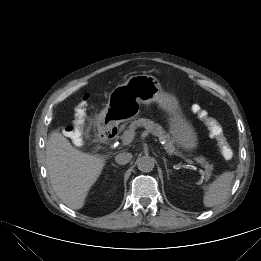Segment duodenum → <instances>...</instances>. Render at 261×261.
I'll return each mask as SVG.
<instances>
[{
	"label": "duodenum",
	"instance_id": "410a0bca",
	"mask_svg": "<svg viewBox=\"0 0 261 261\" xmlns=\"http://www.w3.org/2000/svg\"><path fill=\"white\" fill-rule=\"evenodd\" d=\"M116 136V130L115 129H109L106 131H103L101 134V138L103 141L109 143L111 142Z\"/></svg>",
	"mask_w": 261,
	"mask_h": 261
}]
</instances>
